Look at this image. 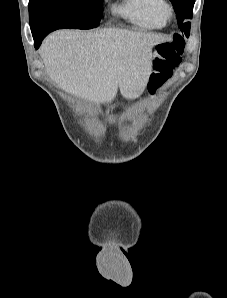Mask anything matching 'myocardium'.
<instances>
[{
	"mask_svg": "<svg viewBox=\"0 0 227 298\" xmlns=\"http://www.w3.org/2000/svg\"><path fill=\"white\" fill-rule=\"evenodd\" d=\"M166 14L168 17H172L174 15V9L169 4H167V6H166Z\"/></svg>",
	"mask_w": 227,
	"mask_h": 298,
	"instance_id": "f54148a6",
	"label": "myocardium"
}]
</instances>
